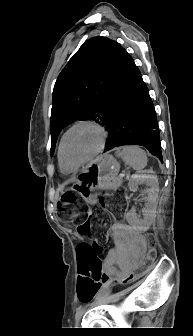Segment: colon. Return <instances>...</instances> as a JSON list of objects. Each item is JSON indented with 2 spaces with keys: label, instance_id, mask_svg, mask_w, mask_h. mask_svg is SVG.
<instances>
[{
  "label": "colon",
  "instance_id": "1",
  "mask_svg": "<svg viewBox=\"0 0 193 336\" xmlns=\"http://www.w3.org/2000/svg\"><path fill=\"white\" fill-rule=\"evenodd\" d=\"M58 206L61 212L68 213L67 218L64 220L67 226H76L78 233L85 238L95 235V239L90 246H80L78 248V266L80 271L89 274L91 283L100 285L107 279L102 257L109 245V238L106 233V227L110 224L109 210L119 212L123 208L122 205L109 204L105 197H100L98 206L93 211L87 213L86 217L82 219L83 211L79 208L81 203L77 195L73 192H65ZM155 255V244L150 241L147 259L153 260ZM137 273V269L133 270L129 278H135ZM80 295L83 302H86L90 298L86 289H80Z\"/></svg>",
  "mask_w": 193,
  "mask_h": 336
}]
</instances>
